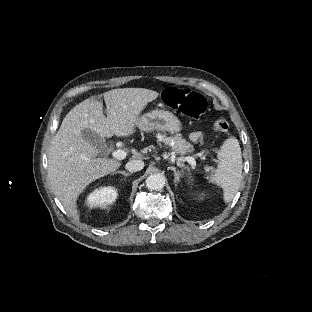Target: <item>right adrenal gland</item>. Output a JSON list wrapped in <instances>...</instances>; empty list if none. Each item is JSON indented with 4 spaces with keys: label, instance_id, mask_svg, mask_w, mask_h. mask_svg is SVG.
Here are the masks:
<instances>
[{
    "label": "right adrenal gland",
    "instance_id": "1",
    "mask_svg": "<svg viewBox=\"0 0 312 312\" xmlns=\"http://www.w3.org/2000/svg\"><path fill=\"white\" fill-rule=\"evenodd\" d=\"M116 173H120L124 176H129L131 173H126L125 171H117Z\"/></svg>",
    "mask_w": 312,
    "mask_h": 312
}]
</instances>
